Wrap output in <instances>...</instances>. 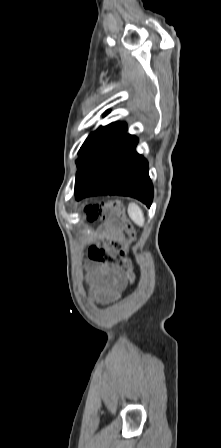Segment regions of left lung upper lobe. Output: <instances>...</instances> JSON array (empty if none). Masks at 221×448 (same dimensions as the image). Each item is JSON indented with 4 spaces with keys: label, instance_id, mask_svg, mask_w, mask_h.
Wrapping results in <instances>:
<instances>
[{
    "label": "left lung upper lobe",
    "instance_id": "left-lung-upper-lobe-1",
    "mask_svg": "<svg viewBox=\"0 0 221 448\" xmlns=\"http://www.w3.org/2000/svg\"><path fill=\"white\" fill-rule=\"evenodd\" d=\"M107 110L105 114L109 113ZM127 125L121 122L100 126L90 133L78 151L76 161L78 169L88 167L100 160L107 152L114 150L118 145L132 138L126 132Z\"/></svg>",
    "mask_w": 221,
    "mask_h": 448
}]
</instances>
